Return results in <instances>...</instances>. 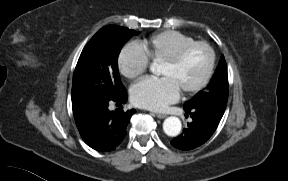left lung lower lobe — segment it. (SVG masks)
Masks as SVG:
<instances>
[{
	"label": "left lung lower lobe",
	"mask_w": 288,
	"mask_h": 181,
	"mask_svg": "<svg viewBox=\"0 0 288 181\" xmlns=\"http://www.w3.org/2000/svg\"><path fill=\"white\" fill-rule=\"evenodd\" d=\"M192 122L188 123L183 133L171 141L172 146L180 150H191L204 144L214 133L223 115L207 108H185Z\"/></svg>",
	"instance_id": "0a47b994"
}]
</instances>
